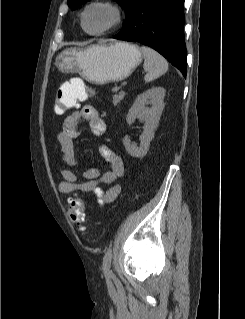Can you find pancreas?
<instances>
[{"mask_svg":"<svg viewBox=\"0 0 245 319\" xmlns=\"http://www.w3.org/2000/svg\"><path fill=\"white\" fill-rule=\"evenodd\" d=\"M124 97V94L123 93H119V94H114L112 96V99H113V104L114 105H117Z\"/></svg>","mask_w":245,"mask_h":319,"instance_id":"pancreas-1","label":"pancreas"}]
</instances>
